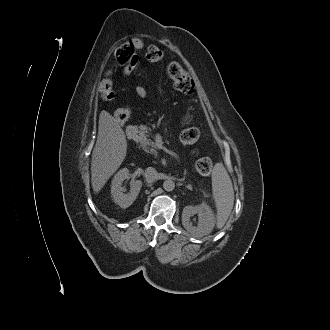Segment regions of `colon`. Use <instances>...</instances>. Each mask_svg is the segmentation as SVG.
<instances>
[{
  "instance_id": "obj_1",
  "label": "colon",
  "mask_w": 330,
  "mask_h": 330,
  "mask_svg": "<svg viewBox=\"0 0 330 330\" xmlns=\"http://www.w3.org/2000/svg\"><path fill=\"white\" fill-rule=\"evenodd\" d=\"M116 60L123 65L129 63L136 56L134 55L133 47L130 44H125L117 49ZM146 59L150 64L159 63L163 58V51L157 46H149L146 50ZM167 73L171 79L174 88L183 94H191L195 89L194 80L189 73L177 62H172L167 67ZM99 93L103 100H109L113 97V87L109 80L102 82L99 86ZM117 121H125L127 117H122L120 111L114 113ZM199 131L196 128H187L181 134V141L184 145H193L199 139ZM196 169L200 174L207 175L211 172L213 162L209 157H200L196 161Z\"/></svg>"
}]
</instances>
